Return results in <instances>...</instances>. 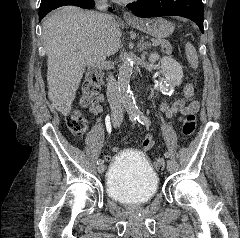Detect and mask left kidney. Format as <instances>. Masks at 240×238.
I'll return each instance as SVG.
<instances>
[{"label":"left kidney","instance_id":"left-kidney-1","mask_svg":"<svg viewBox=\"0 0 240 238\" xmlns=\"http://www.w3.org/2000/svg\"><path fill=\"white\" fill-rule=\"evenodd\" d=\"M161 60V73L164 79L159 82L160 90L163 94L168 95L171 93L175 86L182 83L183 70L180 63L170 56L159 57L157 53H151L149 61L151 63Z\"/></svg>","mask_w":240,"mask_h":238}]
</instances>
